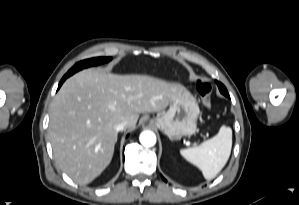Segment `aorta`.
Returning a JSON list of instances; mask_svg holds the SVG:
<instances>
[{
	"label": "aorta",
	"instance_id": "aorta-1",
	"mask_svg": "<svg viewBox=\"0 0 299 205\" xmlns=\"http://www.w3.org/2000/svg\"><path fill=\"white\" fill-rule=\"evenodd\" d=\"M140 143L145 147H152L156 143V135L152 131H143L139 137Z\"/></svg>",
	"mask_w": 299,
	"mask_h": 205
}]
</instances>
